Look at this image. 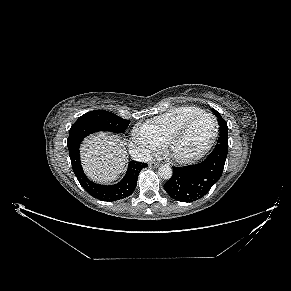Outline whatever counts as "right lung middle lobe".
<instances>
[{
	"label": "right lung middle lobe",
	"mask_w": 291,
	"mask_h": 291,
	"mask_svg": "<svg viewBox=\"0 0 291 291\" xmlns=\"http://www.w3.org/2000/svg\"><path fill=\"white\" fill-rule=\"evenodd\" d=\"M130 121L105 110H94L80 116L73 125L91 124L101 131L123 133Z\"/></svg>",
	"instance_id": "1"
}]
</instances>
